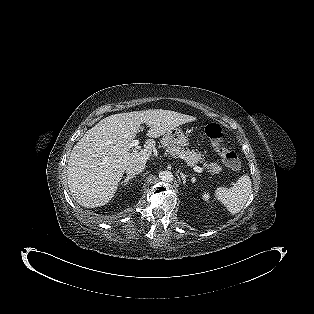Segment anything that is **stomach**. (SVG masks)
Masks as SVG:
<instances>
[{"mask_svg": "<svg viewBox=\"0 0 314 314\" xmlns=\"http://www.w3.org/2000/svg\"><path fill=\"white\" fill-rule=\"evenodd\" d=\"M162 144H174L181 148H188L189 142L186 135L180 128H174L171 131L165 133L161 140Z\"/></svg>", "mask_w": 314, "mask_h": 314, "instance_id": "obj_1", "label": "stomach"}]
</instances>
